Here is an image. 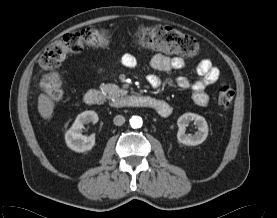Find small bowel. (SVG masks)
<instances>
[{
  "mask_svg": "<svg viewBox=\"0 0 277 218\" xmlns=\"http://www.w3.org/2000/svg\"><path fill=\"white\" fill-rule=\"evenodd\" d=\"M121 63L128 68H133L137 64V59L134 55L126 53L121 57ZM151 67L159 71H171L179 70L185 66V61L180 56H165L163 54H155L151 59ZM199 78L191 82L185 76H179L176 79V85L182 90H190L192 93V99L198 106L204 107L209 102V96L207 88L218 81L220 78V70L212 64V62L205 58L199 61L196 67ZM104 73V70L98 72L99 75ZM148 84L157 88L161 84V79L154 74H150L147 77ZM170 106L166 102H162V106L158 109V113L166 115L170 112Z\"/></svg>",
  "mask_w": 277,
  "mask_h": 218,
  "instance_id": "c3829d8e",
  "label": "small bowel"
}]
</instances>
